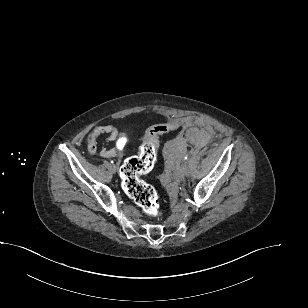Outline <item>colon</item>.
I'll return each mask as SVG.
<instances>
[{"mask_svg":"<svg viewBox=\"0 0 308 308\" xmlns=\"http://www.w3.org/2000/svg\"><path fill=\"white\" fill-rule=\"evenodd\" d=\"M176 127V123L151 126L146 132L138 155L126 160L120 170L124 192L147 216L152 218H158L161 214L158 195L155 188L141 179V176L150 172L154 167L160 135Z\"/></svg>","mask_w":308,"mask_h":308,"instance_id":"5ec220e1","label":"colon"}]
</instances>
